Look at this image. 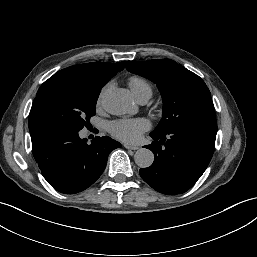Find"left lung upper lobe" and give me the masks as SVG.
Here are the masks:
<instances>
[{"mask_svg": "<svg viewBox=\"0 0 257 257\" xmlns=\"http://www.w3.org/2000/svg\"><path fill=\"white\" fill-rule=\"evenodd\" d=\"M126 69L156 83L163 98V117L153 133L188 123L215 120L210 91L195 73L170 59L128 61Z\"/></svg>", "mask_w": 257, "mask_h": 257, "instance_id": "5c2ea615", "label": "left lung upper lobe"}]
</instances>
